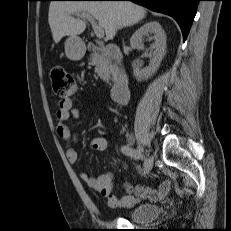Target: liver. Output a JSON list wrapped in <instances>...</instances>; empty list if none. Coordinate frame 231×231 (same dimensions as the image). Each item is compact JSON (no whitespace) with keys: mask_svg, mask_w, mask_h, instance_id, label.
I'll return each instance as SVG.
<instances>
[{"mask_svg":"<svg viewBox=\"0 0 231 231\" xmlns=\"http://www.w3.org/2000/svg\"><path fill=\"white\" fill-rule=\"evenodd\" d=\"M87 13L105 30L106 39L112 40L117 30L141 21L145 8L129 1H52L48 22L53 40L58 43L64 36H77L86 29V21L73 15Z\"/></svg>","mask_w":231,"mask_h":231,"instance_id":"1","label":"liver"}]
</instances>
